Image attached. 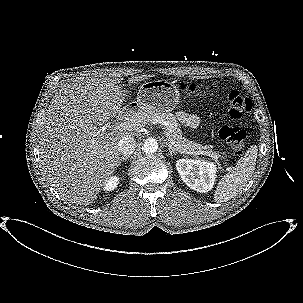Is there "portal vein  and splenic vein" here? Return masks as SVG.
I'll use <instances>...</instances> for the list:
<instances>
[{"mask_svg": "<svg viewBox=\"0 0 303 303\" xmlns=\"http://www.w3.org/2000/svg\"><path fill=\"white\" fill-rule=\"evenodd\" d=\"M158 122V121H157ZM159 123H161V122H159ZM140 124L138 123V122H133V123H131V122H129V121H126V122H121V123H119V124H114V125H112L111 127H112V130H130V129H133V128H138V126H139ZM103 130H105V128L103 129ZM166 137H167V139H168V141H169V143H171L172 145H174L180 152H182V153H184V151L178 146V145H176L173 141H172V139H171V137H170V134L169 133H167L166 132ZM201 154H203V153H201Z\"/></svg>", "mask_w": 303, "mask_h": 303, "instance_id": "18ae733b", "label": "portal vein and splenic vein"}]
</instances>
